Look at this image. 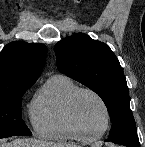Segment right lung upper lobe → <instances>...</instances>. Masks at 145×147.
I'll return each instance as SVG.
<instances>
[{"mask_svg":"<svg viewBox=\"0 0 145 147\" xmlns=\"http://www.w3.org/2000/svg\"><path fill=\"white\" fill-rule=\"evenodd\" d=\"M47 47L43 44L11 42L0 52V92L32 86L45 65Z\"/></svg>","mask_w":145,"mask_h":147,"instance_id":"obj_1","label":"right lung upper lobe"}]
</instances>
